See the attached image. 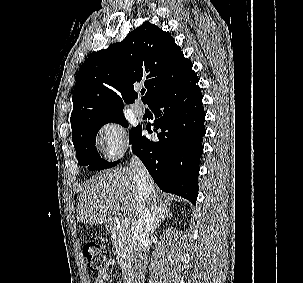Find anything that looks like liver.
<instances>
[{
	"mask_svg": "<svg viewBox=\"0 0 303 283\" xmlns=\"http://www.w3.org/2000/svg\"><path fill=\"white\" fill-rule=\"evenodd\" d=\"M157 208L170 206V198L155 188ZM138 188L131 168L108 169L88 180L81 190L77 221L101 224L109 221L112 210L123 211L125 219L135 226L138 219ZM129 225V226H130Z\"/></svg>",
	"mask_w": 303,
	"mask_h": 283,
	"instance_id": "6515ba94",
	"label": "liver"
}]
</instances>
